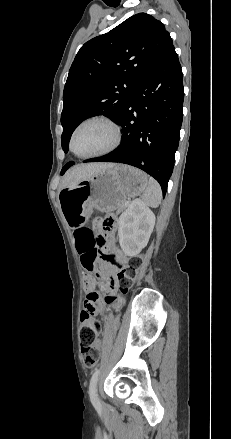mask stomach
Returning a JSON list of instances; mask_svg holds the SVG:
<instances>
[{
  "label": "stomach",
  "mask_w": 231,
  "mask_h": 439,
  "mask_svg": "<svg viewBox=\"0 0 231 439\" xmlns=\"http://www.w3.org/2000/svg\"><path fill=\"white\" fill-rule=\"evenodd\" d=\"M148 176L134 167L115 164L85 180L73 182L60 193L62 212L70 227L84 225L93 209L102 212L122 210L128 198L140 195Z\"/></svg>",
  "instance_id": "0dacf381"
}]
</instances>
